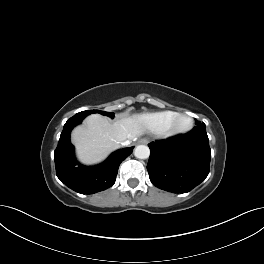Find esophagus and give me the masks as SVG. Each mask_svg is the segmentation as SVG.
Listing matches in <instances>:
<instances>
[{"mask_svg": "<svg viewBox=\"0 0 264 264\" xmlns=\"http://www.w3.org/2000/svg\"><path fill=\"white\" fill-rule=\"evenodd\" d=\"M139 143L140 144H147L148 143V140L147 139H140L139 140Z\"/></svg>", "mask_w": 264, "mask_h": 264, "instance_id": "obj_1", "label": "esophagus"}]
</instances>
